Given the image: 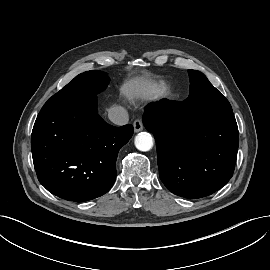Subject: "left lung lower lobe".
Returning <instances> with one entry per match:
<instances>
[{
  "label": "left lung lower lobe",
  "mask_w": 270,
  "mask_h": 270,
  "mask_svg": "<svg viewBox=\"0 0 270 270\" xmlns=\"http://www.w3.org/2000/svg\"><path fill=\"white\" fill-rule=\"evenodd\" d=\"M156 140L159 176L172 193L202 198L232 177L239 146L233 112L202 113L195 94L160 104L144 116Z\"/></svg>",
  "instance_id": "obj_1"
}]
</instances>
